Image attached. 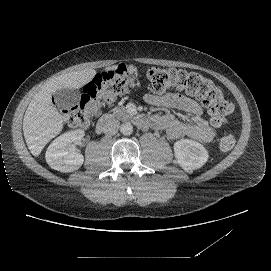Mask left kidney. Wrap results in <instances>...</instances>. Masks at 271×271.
Here are the masks:
<instances>
[{
	"instance_id": "5707ae66",
	"label": "left kidney",
	"mask_w": 271,
	"mask_h": 271,
	"mask_svg": "<svg viewBox=\"0 0 271 271\" xmlns=\"http://www.w3.org/2000/svg\"><path fill=\"white\" fill-rule=\"evenodd\" d=\"M174 150L180 166L187 169L201 167L208 158L206 149L193 140L183 139L177 141Z\"/></svg>"
}]
</instances>
